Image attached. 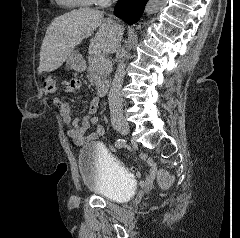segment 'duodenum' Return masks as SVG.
I'll return each mask as SVG.
<instances>
[{
	"label": "duodenum",
	"mask_w": 240,
	"mask_h": 238,
	"mask_svg": "<svg viewBox=\"0 0 240 238\" xmlns=\"http://www.w3.org/2000/svg\"><path fill=\"white\" fill-rule=\"evenodd\" d=\"M108 88H109V83H108V81L102 82V83L99 85V87H98V95H99L100 97H103L104 95H106L107 92H108Z\"/></svg>",
	"instance_id": "obj_1"
}]
</instances>
